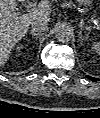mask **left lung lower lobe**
Masks as SVG:
<instances>
[{"label": "left lung lower lobe", "instance_id": "left-lung-lower-lobe-1", "mask_svg": "<svg viewBox=\"0 0 100 118\" xmlns=\"http://www.w3.org/2000/svg\"><path fill=\"white\" fill-rule=\"evenodd\" d=\"M88 78L90 79V80H92V81H96L97 80V78H93V77H90V76H88Z\"/></svg>", "mask_w": 100, "mask_h": 118}]
</instances>
